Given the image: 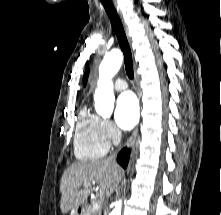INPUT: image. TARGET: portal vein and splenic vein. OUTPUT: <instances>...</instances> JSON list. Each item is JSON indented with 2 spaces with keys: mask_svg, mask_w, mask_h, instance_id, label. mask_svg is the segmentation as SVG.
Wrapping results in <instances>:
<instances>
[{
  "mask_svg": "<svg viewBox=\"0 0 221 215\" xmlns=\"http://www.w3.org/2000/svg\"><path fill=\"white\" fill-rule=\"evenodd\" d=\"M95 208H98V206H97V204H96V206H94Z\"/></svg>",
  "mask_w": 221,
  "mask_h": 215,
  "instance_id": "1",
  "label": "portal vein and splenic vein"
}]
</instances>
